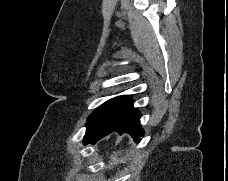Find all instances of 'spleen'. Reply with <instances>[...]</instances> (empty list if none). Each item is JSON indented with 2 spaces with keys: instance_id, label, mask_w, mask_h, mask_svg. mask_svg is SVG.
<instances>
[{
  "instance_id": "3e777b00",
  "label": "spleen",
  "mask_w": 228,
  "mask_h": 181,
  "mask_svg": "<svg viewBox=\"0 0 228 181\" xmlns=\"http://www.w3.org/2000/svg\"><path fill=\"white\" fill-rule=\"evenodd\" d=\"M111 159H112V161H115V163H116V161H117L116 157H111Z\"/></svg>"
}]
</instances>
